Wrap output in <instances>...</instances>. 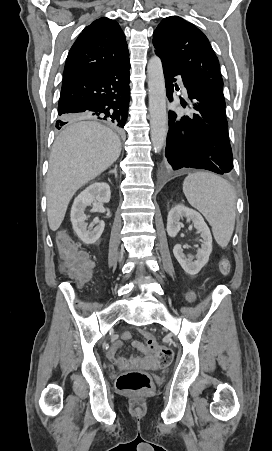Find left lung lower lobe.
<instances>
[{"instance_id": "obj_1", "label": "left lung lower lobe", "mask_w": 272, "mask_h": 451, "mask_svg": "<svg viewBox=\"0 0 272 451\" xmlns=\"http://www.w3.org/2000/svg\"><path fill=\"white\" fill-rule=\"evenodd\" d=\"M161 61L169 100H173L175 77L180 75L195 110L192 118L184 116L181 119L177 118L175 112H169L165 153L169 168L206 169L218 174L230 172L233 168V156L225 105L187 78L173 64L162 58Z\"/></svg>"}]
</instances>
